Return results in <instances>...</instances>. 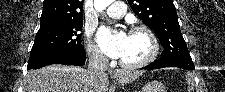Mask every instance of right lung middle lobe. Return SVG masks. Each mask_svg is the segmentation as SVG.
Wrapping results in <instances>:
<instances>
[{
    "label": "right lung middle lobe",
    "mask_w": 225,
    "mask_h": 92,
    "mask_svg": "<svg viewBox=\"0 0 225 92\" xmlns=\"http://www.w3.org/2000/svg\"><path fill=\"white\" fill-rule=\"evenodd\" d=\"M83 22L42 23L36 34L30 56L58 49L82 48Z\"/></svg>",
    "instance_id": "dd1d6c3e"
}]
</instances>
